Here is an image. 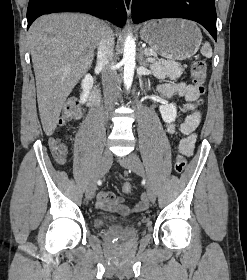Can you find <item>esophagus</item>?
I'll use <instances>...</instances> for the list:
<instances>
[{"label": "esophagus", "instance_id": "1", "mask_svg": "<svg viewBox=\"0 0 247 280\" xmlns=\"http://www.w3.org/2000/svg\"><path fill=\"white\" fill-rule=\"evenodd\" d=\"M123 1H124V6H125V9H126L127 15H130L132 0H123Z\"/></svg>", "mask_w": 247, "mask_h": 280}]
</instances>
